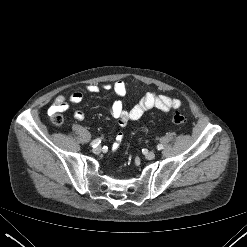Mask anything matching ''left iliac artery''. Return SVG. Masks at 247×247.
Masks as SVG:
<instances>
[{"label": "left iliac artery", "mask_w": 247, "mask_h": 247, "mask_svg": "<svg viewBox=\"0 0 247 247\" xmlns=\"http://www.w3.org/2000/svg\"><path fill=\"white\" fill-rule=\"evenodd\" d=\"M157 149H158V150H162V149H163V145H162V144H158V145H157Z\"/></svg>", "instance_id": "1"}]
</instances>
